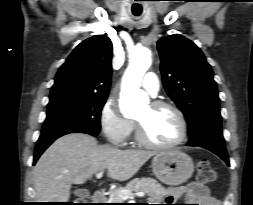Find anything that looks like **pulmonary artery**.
<instances>
[{
	"label": "pulmonary artery",
	"instance_id": "e3ab8cb5",
	"mask_svg": "<svg viewBox=\"0 0 253 205\" xmlns=\"http://www.w3.org/2000/svg\"><path fill=\"white\" fill-rule=\"evenodd\" d=\"M142 87L150 95L156 96L160 89V82L157 75L152 72L147 73L143 78Z\"/></svg>",
	"mask_w": 253,
	"mask_h": 205
}]
</instances>
